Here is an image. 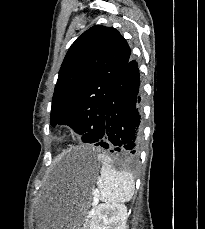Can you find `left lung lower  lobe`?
<instances>
[{
    "mask_svg": "<svg viewBox=\"0 0 205 229\" xmlns=\"http://www.w3.org/2000/svg\"><path fill=\"white\" fill-rule=\"evenodd\" d=\"M140 76L136 61L129 60L109 92L102 123L87 133V143L120 152L136 160L141 140Z\"/></svg>",
    "mask_w": 205,
    "mask_h": 229,
    "instance_id": "obj_1",
    "label": "left lung lower lobe"
}]
</instances>
